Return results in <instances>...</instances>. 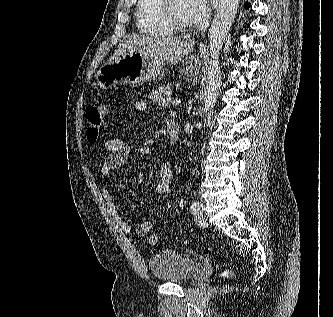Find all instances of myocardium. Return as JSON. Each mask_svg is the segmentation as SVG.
<instances>
[{"label":"myocardium","mask_w":333,"mask_h":317,"mask_svg":"<svg viewBox=\"0 0 333 317\" xmlns=\"http://www.w3.org/2000/svg\"><path fill=\"white\" fill-rule=\"evenodd\" d=\"M175 0H159V13L163 23L173 32L180 35L188 34L192 31V26L179 24L173 15V3Z\"/></svg>","instance_id":"obj_1"}]
</instances>
